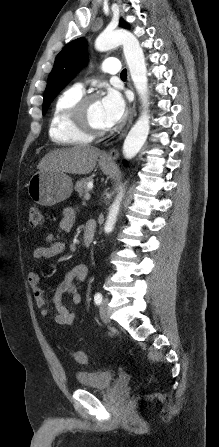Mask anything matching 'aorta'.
Instances as JSON below:
<instances>
[{"instance_id":"obj_1","label":"aorta","mask_w":219,"mask_h":447,"mask_svg":"<svg viewBox=\"0 0 219 447\" xmlns=\"http://www.w3.org/2000/svg\"><path fill=\"white\" fill-rule=\"evenodd\" d=\"M119 45L123 46L124 56L129 68L131 79L141 99L143 110L136 123L130 129L123 144L124 157H134L144 145L150 130L148 111V79L143 50L138 39L129 31L118 29L103 31L95 41L98 51H108ZM121 197L112 204L105 224L106 231H112L117 220Z\"/></svg>"}]
</instances>
